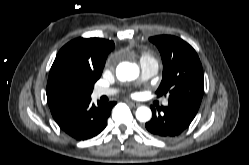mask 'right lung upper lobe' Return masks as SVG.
Masks as SVG:
<instances>
[{
    "label": "right lung upper lobe",
    "instance_id": "right-lung-upper-lobe-1",
    "mask_svg": "<svg viewBox=\"0 0 249 165\" xmlns=\"http://www.w3.org/2000/svg\"><path fill=\"white\" fill-rule=\"evenodd\" d=\"M113 48V41L101 38H77L63 46L47 82L49 107L89 98Z\"/></svg>",
    "mask_w": 249,
    "mask_h": 165
}]
</instances>
